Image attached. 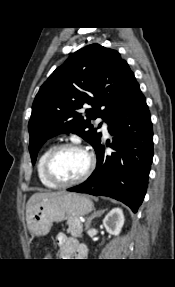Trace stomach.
I'll list each match as a JSON object with an SVG mask.
<instances>
[{
	"label": "stomach",
	"mask_w": 175,
	"mask_h": 287,
	"mask_svg": "<svg viewBox=\"0 0 175 287\" xmlns=\"http://www.w3.org/2000/svg\"><path fill=\"white\" fill-rule=\"evenodd\" d=\"M92 210L93 203L87 196L64 192L35 204L26 215L27 228L34 236H45L54 222H61L68 216L78 218Z\"/></svg>",
	"instance_id": "stomach-1"
}]
</instances>
